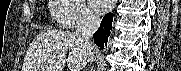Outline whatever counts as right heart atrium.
<instances>
[{"mask_svg":"<svg viewBox=\"0 0 181 71\" xmlns=\"http://www.w3.org/2000/svg\"><path fill=\"white\" fill-rule=\"evenodd\" d=\"M58 22L68 28L88 26L96 22V16L84 0H56Z\"/></svg>","mask_w":181,"mask_h":71,"instance_id":"right-heart-atrium-1","label":"right heart atrium"}]
</instances>
